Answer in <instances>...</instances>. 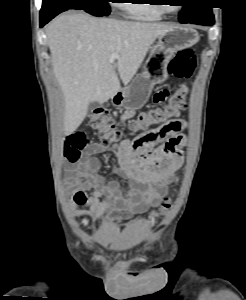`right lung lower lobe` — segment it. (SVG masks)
<instances>
[{
	"mask_svg": "<svg viewBox=\"0 0 246 300\" xmlns=\"http://www.w3.org/2000/svg\"><path fill=\"white\" fill-rule=\"evenodd\" d=\"M71 8H59V9H55L53 11H51L48 14L45 15H40V27H43L46 23H48L51 19H53L56 15H58L59 13L69 10Z\"/></svg>",
	"mask_w": 246,
	"mask_h": 300,
	"instance_id": "right-lung-lower-lobe-1",
	"label": "right lung lower lobe"
}]
</instances>
